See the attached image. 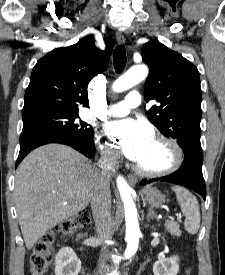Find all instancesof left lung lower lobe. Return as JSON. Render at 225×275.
Here are the masks:
<instances>
[{
	"label": "left lung lower lobe",
	"instance_id": "1",
	"mask_svg": "<svg viewBox=\"0 0 225 275\" xmlns=\"http://www.w3.org/2000/svg\"><path fill=\"white\" fill-rule=\"evenodd\" d=\"M184 152V161L181 167L171 175L159 179L142 180L141 185L151 183L155 180L170 182L188 187L206 198V187L202 174L203 154L199 147L189 148Z\"/></svg>",
	"mask_w": 225,
	"mask_h": 275
}]
</instances>
